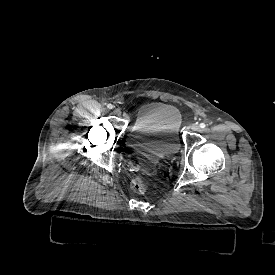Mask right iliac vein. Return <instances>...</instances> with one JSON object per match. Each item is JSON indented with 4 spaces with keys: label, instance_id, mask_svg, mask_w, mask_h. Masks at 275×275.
Segmentation results:
<instances>
[{
    "label": "right iliac vein",
    "instance_id": "right-iliac-vein-1",
    "mask_svg": "<svg viewBox=\"0 0 275 275\" xmlns=\"http://www.w3.org/2000/svg\"><path fill=\"white\" fill-rule=\"evenodd\" d=\"M114 113H115V115H117V116H120V115H121V111H120L119 108H116V109L114 110Z\"/></svg>",
    "mask_w": 275,
    "mask_h": 275
}]
</instances>
